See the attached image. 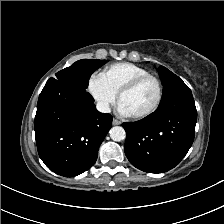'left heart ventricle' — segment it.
Masks as SVG:
<instances>
[{
  "label": "left heart ventricle",
  "mask_w": 224,
  "mask_h": 224,
  "mask_svg": "<svg viewBox=\"0 0 224 224\" xmlns=\"http://www.w3.org/2000/svg\"><path fill=\"white\" fill-rule=\"evenodd\" d=\"M158 88L155 81L148 79L141 82L132 91L124 94L120 103L129 111L130 115L139 114L149 109L155 102Z\"/></svg>",
  "instance_id": "left-heart-ventricle-1"
}]
</instances>
